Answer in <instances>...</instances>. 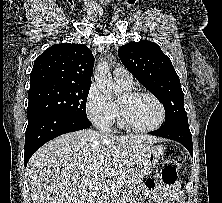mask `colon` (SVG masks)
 Here are the masks:
<instances>
[{"label": "colon", "mask_w": 222, "mask_h": 203, "mask_svg": "<svg viewBox=\"0 0 222 203\" xmlns=\"http://www.w3.org/2000/svg\"><path fill=\"white\" fill-rule=\"evenodd\" d=\"M184 160V154L176 145H167L163 154V165L161 170V180L165 184L173 185L177 183L178 169Z\"/></svg>", "instance_id": "colon-1"}]
</instances>
